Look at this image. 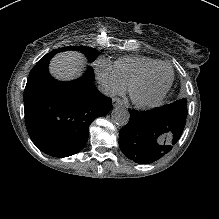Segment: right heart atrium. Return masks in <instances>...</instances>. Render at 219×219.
I'll list each match as a JSON object with an SVG mask.
<instances>
[{"label": "right heart atrium", "mask_w": 219, "mask_h": 219, "mask_svg": "<svg viewBox=\"0 0 219 219\" xmlns=\"http://www.w3.org/2000/svg\"><path fill=\"white\" fill-rule=\"evenodd\" d=\"M97 80L104 91L110 95L124 91V84L116 77L113 68L106 61H99L95 67Z\"/></svg>", "instance_id": "d8ad5b80"}]
</instances>
